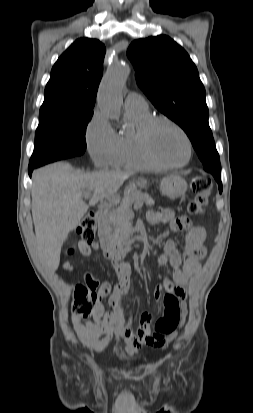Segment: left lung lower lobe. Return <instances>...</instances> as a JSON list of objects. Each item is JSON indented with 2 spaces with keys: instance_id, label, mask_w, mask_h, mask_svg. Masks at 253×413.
I'll use <instances>...</instances> for the list:
<instances>
[{
  "instance_id": "obj_1",
  "label": "left lung lower lobe",
  "mask_w": 253,
  "mask_h": 413,
  "mask_svg": "<svg viewBox=\"0 0 253 413\" xmlns=\"http://www.w3.org/2000/svg\"><path fill=\"white\" fill-rule=\"evenodd\" d=\"M212 175L216 179L218 186H219V191L221 193L222 192L221 174H212Z\"/></svg>"
}]
</instances>
